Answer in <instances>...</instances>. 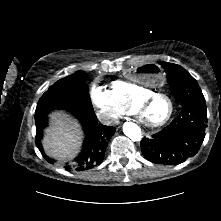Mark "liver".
<instances>
[{"label":"liver","instance_id":"obj_1","mask_svg":"<svg viewBox=\"0 0 221 221\" xmlns=\"http://www.w3.org/2000/svg\"><path fill=\"white\" fill-rule=\"evenodd\" d=\"M50 117L51 126L46 130L42 141L45 152L59 160L72 159L81 145L82 132L79 124L62 112H54Z\"/></svg>","mask_w":221,"mask_h":221}]
</instances>
